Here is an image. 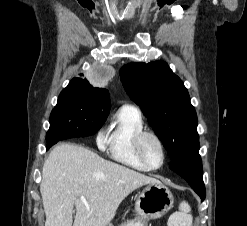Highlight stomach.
<instances>
[{
	"label": "stomach",
	"instance_id": "0dacf381",
	"mask_svg": "<svg viewBox=\"0 0 247 226\" xmlns=\"http://www.w3.org/2000/svg\"><path fill=\"white\" fill-rule=\"evenodd\" d=\"M174 204L171 191L160 181L146 185L135 203L136 218L120 226H146L150 219L164 216Z\"/></svg>",
	"mask_w": 247,
	"mask_h": 226
}]
</instances>
